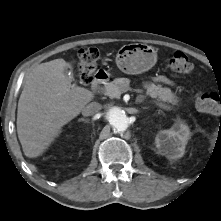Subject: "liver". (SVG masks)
Listing matches in <instances>:
<instances>
[{
  "label": "liver",
  "mask_w": 221,
  "mask_h": 221,
  "mask_svg": "<svg viewBox=\"0 0 221 221\" xmlns=\"http://www.w3.org/2000/svg\"><path fill=\"white\" fill-rule=\"evenodd\" d=\"M66 68L72 65L60 58L37 65L26 76L18 101L17 134L29 158L40 156L94 98L88 89L71 86Z\"/></svg>",
  "instance_id": "1"
}]
</instances>
